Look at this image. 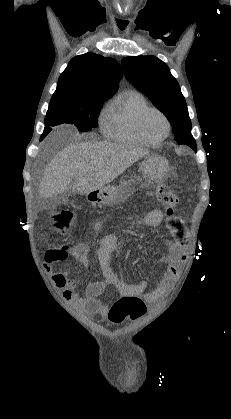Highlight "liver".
Segmentation results:
<instances>
[{
  "label": "liver",
  "instance_id": "liver-1",
  "mask_svg": "<svg viewBox=\"0 0 231 419\" xmlns=\"http://www.w3.org/2000/svg\"><path fill=\"white\" fill-rule=\"evenodd\" d=\"M148 154L150 152L142 147L120 143L86 141L71 144L48 164L40 195L51 198L71 189L80 194L99 190ZM72 180H75L73 186Z\"/></svg>",
  "mask_w": 231,
  "mask_h": 419
}]
</instances>
